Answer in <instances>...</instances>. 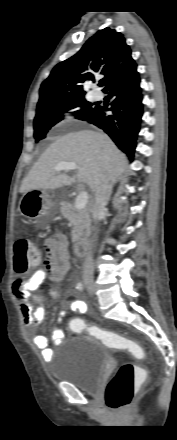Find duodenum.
I'll use <instances>...</instances> for the list:
<instances>
[{"mask_svg":"<svg viewBox=\"0 0 177 440\" xmlns=\"http://www.w3.org/2000/svg\"><path fill=\"white\" fill-rule=\"evenodd\" d=\"M89 241L81 239L75 242L74 250L78 257H83L88 253Z\"/></svg>","mask_w":177,"mask_h":440,"instance_id":"duodenum-1","label":"duodenum"}]
</instances>
